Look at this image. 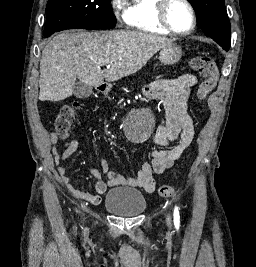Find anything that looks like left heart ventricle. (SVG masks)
Masks as SVG:
<instances>
[{
    "instance_id": "left-heart-ventricle-1",
    "label": "left heart ventricle",
    "mask_w": 256,
    "mask_h": 267,
    "mask_svg": "<svg viewBox=\"0 0 256 267\" xmlns=\"http://www.w3.org/2000/svg\"><path fill=\"white\" fill-rule=\"evenodd\" d=\"M167 17L171 26L179 31L186 32L192 25V17L189 9L178 1H172L167 10Z\"/></svg>"
}]
</instances>
